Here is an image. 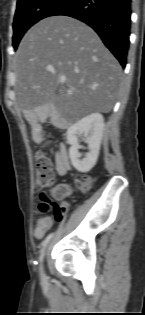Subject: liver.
<instances>
[{"label":"liver","instance_id":"obj_1","mask_svg":"<svg viewBox=\"0 0 145 315\" xmlns=\"http://www.w3.org/2000/svg\"><path fill=\"white\" fill-rule=\"evenodd\" d=\"M14 72L16 104L28 121L42 111L53 122L71 125L88 114L111 111L122 68L89 26L52 16L25 34Z\"/></svg>","mask_w":145,"mask_h":315}]
</instances>
